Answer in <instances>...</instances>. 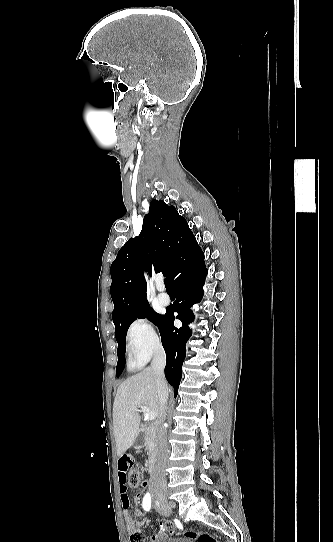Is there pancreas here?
Instances as JSON below:
<instances>
[{
    "instance_id": "cf45deb5",
    "label": "pancreas",
    "mask_w": 333,
    "mask_h": 542,
    "mask_svg": "<svg viewBox=\"0 0 333 542\" xmlns=\"http://www.w3.org/2000/svg\"><path fill=\"white\" fill-rule=\"evenodd\" d=\"M153 442H150L149 446H152Z\"/></svg>"
}]
</instances>
